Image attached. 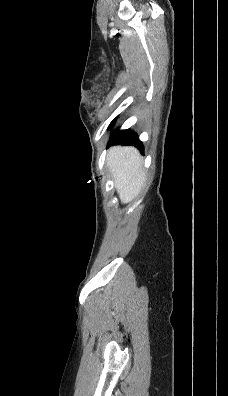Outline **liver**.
Segmentation results:
<instances>
[{"label": "liver", "instance_id": "liver-1", "mask_svg": "<svg viewBox=\"0 0 228 396\" xmlns=\"http://www.w3.org/2000/svg\"><path fill=\"white\" fill-rule=\"evenodd\" d=\"M106 163L115 179V188L121 202H131L139 194L146 180L139 151L134 147H112Z\"/></svg>", "mask_w": 228, "mask_h": 396}]
</instances>
